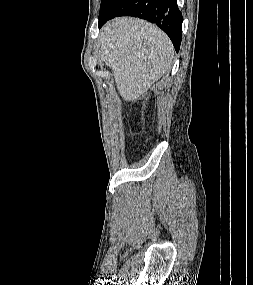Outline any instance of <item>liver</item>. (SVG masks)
Listing matches in <instances>:
<instances>
[{
	"instance_id": "6515ba94",
	"label": "liver",
	"mask_w": 253,
	"mask_h": 285,
	"mask_svg": "<svg viewBox=\"0 0 253 285\" xmlns=\"http://www.w3.org/2000/svg\"><path fill=\"white\" fill-rule=\"evenodd\" d=\"M101 53L113 71L122 98L132 101L170 70L174 48L156 25L121 17L103 27Z\"/></svg>"
}]
</instances>
